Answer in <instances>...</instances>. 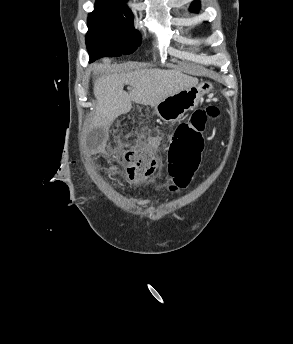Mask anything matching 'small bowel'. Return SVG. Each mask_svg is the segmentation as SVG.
I'll list each match as a JSON object with an SVG mask.
<instances>
[{
    "label": "small bowel",
    "mask_w": 293,
    "mask_h": 344,
    "mask_svg": "<svg viewBox=\"0 0 293 344\" xmlns=\"http://www.w3.org/2000/svg\"><path fill=\"white\" fill-rule=\"evenodd\" d=\"M147 139V141L156 149H161L163 147L162 145V140L159 136H155V135H147L145 137ZM155 165V164H154ZM154 170V167L151 171V174Z\"/></svg>",
    "instance_id": "obj_1"
}]
</instances>
